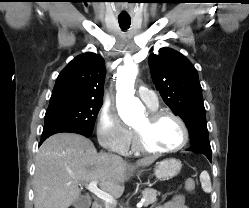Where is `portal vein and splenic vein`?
Listing matches in <instances>:
<instances>
[{
  "mask_svg": "<svg viewBox=\"0 0 249 208\" xmlns=\"http://www.w3.org/2000/svg\"><path fill=\"white\" fill-rule=\"evenodd\" d=\"M87 189L94 195H96L98 198L102 199L105 203L114 204L116 202L112 195L97 187L96 181L90 182L87 185ZM144 201L145 199H142L139 203H137V208H141L143 206Z\"/></svg>",
  "mask_w": 249,
  "mask_h": 208,
  "instance_id": "18ae733b",
  "label": "portal vein and splenic vein"
}]
</instances>
